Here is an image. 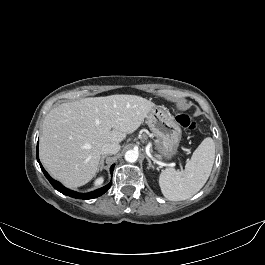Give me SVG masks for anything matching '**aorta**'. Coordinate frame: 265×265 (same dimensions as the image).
Listing matches in <instances>:
<instances>
[{
  "label": "aorta",
  "mask_w": 265,
  "mask_h": 265,
  "mask_svg": "<svg viewBox=\"0 0 265 265\" xmlns=\"http://www.w3.org/2000/svg\"><path fill=\"white\" fill-rule=\"evenodd\" d=\"M139 157V153L138 151L136 150H128L126 153H125V160L127 162H130V163H134L137 161Z\"/></svg>",
  "instance_id": "aorta-1"
}]
</instances>
